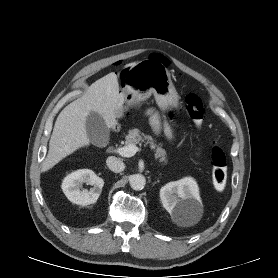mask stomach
<instances>
[{"instance_id":"0dacf381","label":"stomach","mask_w":278,"mask_h":278,"mask_svg":"<svg viewBox=\"0 0 278 278\" xmlns=\"http://www.w3.org/2000/svg\"><path fill=\"white\" fill-rule=\"evenodd\" d=\"M122 80L132 89V103H138L154 96L159 109L165 112L170 107H176L177 91L172 83L166 66L156 59H146L122 71ZM164 134L173 138V131L166 120L163 124Z\"/></svg>"}]
</instances>
